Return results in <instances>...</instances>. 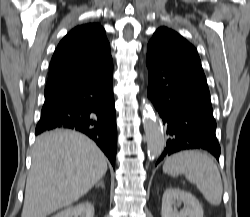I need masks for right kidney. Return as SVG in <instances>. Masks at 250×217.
Listing matches in <instances>:
<instances>
[{
  "label": "right kidney",
  "instance_id": "ca27d5eb",
  "mask_svg": "<svg viewBox=\"0 0 250 217\" xmlns=\"http://www.w3.org/2000/svg\"><path fill=\"white\" fill-rule=\"evenodd\" d=\"M52 217H94V207L89 202L71 206Z\"/></svg>",
  "mask_w": 250,
  "mask_h": 217
}]
</instances>
